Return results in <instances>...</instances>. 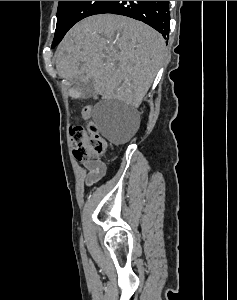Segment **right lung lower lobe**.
Segmentation results:
<instances>
[{
	"mask_svg": "<svg viewBox=\"0 0 237 300\" xmlns=\"http://www.w3.org/2000/svg\"><path fill=\"white\" fill-rule=\"evenodd\" d=\"M112 13L140 20L165 39L170 30L169 1H108L96 14Z\"/></svg>",
	"mask_w": 237,
	"mask_h": 300,
	"instance_id": "right-lung-lower-lobe-1",
	"label": "right lung lower lobe"
}]
</instances>
